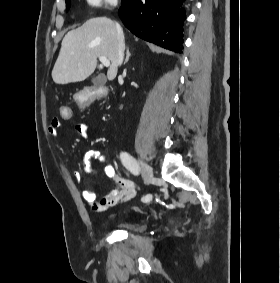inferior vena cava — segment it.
I'll list each match as a JSON object with an SVG mask.
<instances>
[{"instance_id":"1","label":"inferior vena cava","mask_w":280,"mask_h":283,"mask_svg":"<svg viewBox=\"0 0 280 283\" xmlns=\"http://www.w3.org/2000/svg\"><path fill=\"white\" fill-rule=\"evenodd\" d=\"M116 30L118 37V65H121L124 58L125 43H124L123 30L118 23H116Z\"/></svg>"}]
</instances>
